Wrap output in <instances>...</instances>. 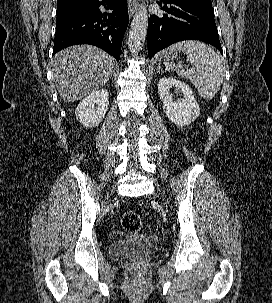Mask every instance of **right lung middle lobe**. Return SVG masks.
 <instances>
[{
    "instance_id": "right-lung-middle-lobe-1",
    "label": "right lung middle lobe",
    "mask_w": 272,
    "mask_h": 303,
    "mask_svg": "<svg viewBox=\"0 0 272 303\" xmlns=\"http://www.w3.org/2000/svg\"><path fill=\"white\" fill-rule=\"evenodd\" d=\"M93 1H83V2H76V3L58 5L57 14H61V13H64L66 11L88 5V4L92 3Z\"/></svg>"
}]
</instances>
